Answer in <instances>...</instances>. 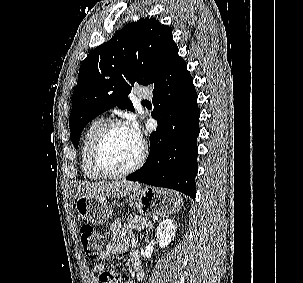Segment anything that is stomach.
<instances>
[{
    "mask_svg": "<svg viewBox=\"0 0 303 283\" xmlns=\"http://www.w3.org/2000/svg\"><path fill=\"white\" fill-rule=\"evenodd\" d=\"M133 192L137 209L144 215L165 216L175 213L180 210L183 202L181 196L171 190L140 187ZM75 208L83 220L94 225L105 223L113 212L106 197L79 196Z\"/></svg>",
    "mask_w": 303,
    "mask_h": 283,
    "instance_id": "stomach-1",
    "label": "stomach"
}]
</instances>
